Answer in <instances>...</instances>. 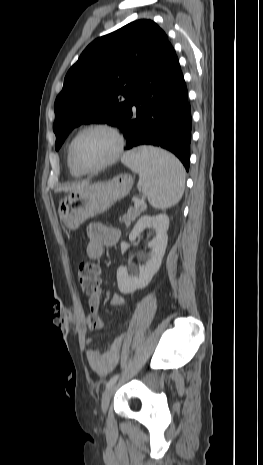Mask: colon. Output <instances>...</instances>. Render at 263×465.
<instances>
[{
  "label": "colon",
  "mask_w": 263,
  "mask_h": 465,
  "mask_svg": "<svg viewBox=\"0 0 263 465\" xmlns=\"http://www.w3.org/2000/svg\"><path fill=\"white\" fill-rule=\"evenodd\" d=\"M77 276L84 294L92 296L98 292L101 283V271L97 265L89 262L80 264ZM86 323L92 330H100L104 327L102 320L96 315H89Z\"/></svg>",
  "instance_id": "5ec220e1"
}]
</instances>
